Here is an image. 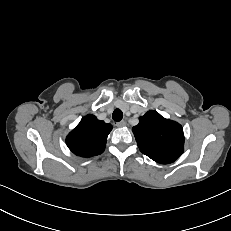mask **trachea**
I'll use <instances>...</instances> for the list:
<instances>
[{"label":"trachea","mask_w":231,"mask_h":231,"mask_svg":"<svg viewBox=\"0 0 231 231\" xmlns=\"http://www.w3.org/2000/svg\"><path fill=\"white\" fill-rule=\"evenodd\" d=\"M112 118H113V120L116 121V122L121 121L122 118H123V113H122V111H121L120 109H115L114 112H113V114H112Z\"/></svg>","instance_id":"trachea-1"}]
</instances>
